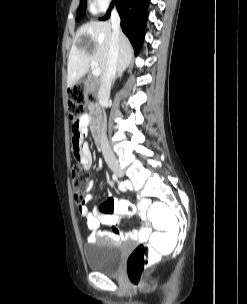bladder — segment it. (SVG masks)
Returning <instances> with one entry per match:
<instances>
[{
  "mask_svg": "<svg viewBox=\"0 0 247 304\" xmlns=\"http://www.w3.org/2000/svg\"><path fill=\"white\" fill-rule=\"evenodd\" d=\"M84 255L90 270L115 274L122 262L123 248L121 242L100 238L84 247Z\"/></svg>",
  "mask_w": 247,
  "mask_h": 304,
  "instance_id": "obj_1",
  "label": "bladder"
}]
</instances>
